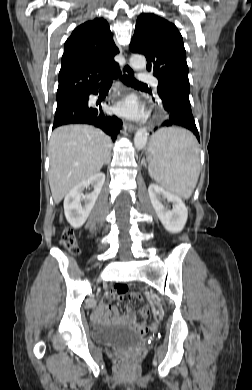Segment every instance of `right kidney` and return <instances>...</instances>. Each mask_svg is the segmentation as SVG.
I'll return each mask as SVG.
<instances>
[{"label":"right kidney","mask_w":252,"mask_h":390,"mask_svg":"<svg viewBox=\"0 0 252 390\" xmlns=\"http://www.w3.org/2000/svg\"><path fill=\"white\" fill-rule=\"evenodd\" d=\"M105 181V174L96 173L73 187L64 199V212L73 228H80L93 209ZM93 187V191L84 195V189ZM83 203V204H81Z\"/></svg>","instance_id":"obj_1"}]
</instances>
